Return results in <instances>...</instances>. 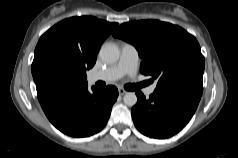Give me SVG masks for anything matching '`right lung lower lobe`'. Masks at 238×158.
Returning <instances> with one entry per match:
<instances>
[{"label":"right lung lower lobe","instance_id":"obj_1","mask_svg":"<svg viewBox=\"0 0 238 158\" xmlns=\"http://www.w3.org/2000/svg\"><path fill=\"white\" fill-rule=\"evenodd\" d=\"M37 96L50 122L61 132L73 137H86L99 132L107 123L117 100L115 86L104 89L87 84H68L53 80L36 82Z\"/></svg>","mask_w":238,"mask_h":158}]
</instances>
